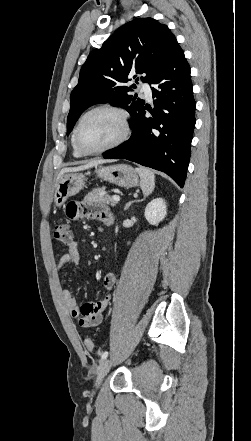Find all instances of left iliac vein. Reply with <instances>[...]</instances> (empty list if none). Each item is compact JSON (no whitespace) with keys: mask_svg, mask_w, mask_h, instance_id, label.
<instances>
[{"mask_svg":"<svg viewBox=\"0 0 251 441\" xmlns=\"http://www.w3.org/2000/svg\"><path fill=\"white\" fill-rule=\"evenodd\" d=\"M111 368V361L109 359H105L99 366L98 371H97V377L95 380V386L96 388H98L104 377L107 375V373L109 372Z\"/></svg>","mask_w":251,"mask_h":441,"instance_id":"left-iliac-vein-1","label":"left iliac vein"}]
</instances>
